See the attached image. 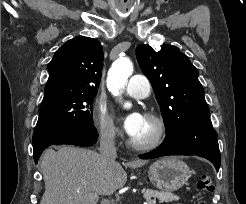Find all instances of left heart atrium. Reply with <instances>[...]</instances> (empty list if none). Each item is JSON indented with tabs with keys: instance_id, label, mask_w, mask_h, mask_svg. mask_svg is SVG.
<instances>
[{
	"instance_id": "obj_1",
	"label": "left heart atrium",
	"mask_w": 246,
	"mask_h": 204,
	"mask_svg": "<svg viewBox=\"0 0 246 204\" xmlns=\"http://www.w3.org/2000/svg\"><path fill=\"white\" fill-rule=\"evenodd\" d=\"M143 116L139 112H131L127 114L123 119V127L129 136L134 135L139 129Z\"/></svg>"
}]
</instances>
